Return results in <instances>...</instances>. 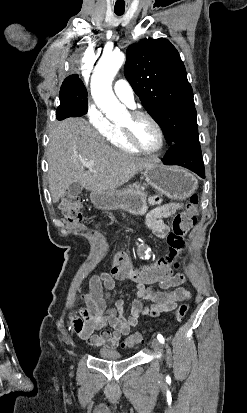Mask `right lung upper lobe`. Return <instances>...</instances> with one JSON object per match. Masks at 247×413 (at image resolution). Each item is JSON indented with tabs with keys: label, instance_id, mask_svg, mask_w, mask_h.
I'll use <instances>...</instances> for the list:
<instances>
[{
	"label": "right lung upper lobe",
	"instance_id": "1",
	"mask_svg": "<svg viewBox=\"0 0 247 413\" xmlns=\"http://www.w3.org/2000/svg\"><path fill=\"white\" fill-rule=\"evenodd\" d=\"M68 80H81V79L78 78V75H71L67 77L64 81H68Z\"/></svg>",
	"mask_w": 247,
	"mask_h": 413
}]
</instances>
